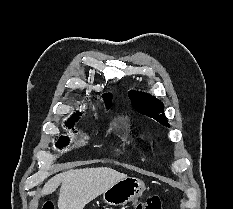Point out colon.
Here are the masks:
<instances>
[{
  "mask_svg": "<svg viewBox=\"0 0 233 209\" xmlns=\"http://www.w3.org/2000/svg\"><path fill=\"white\" fill-rule=\"evenodd\" d=\"M43 209H54V206L51 202H47ZM133 209H162V199L159 195H151L138 202Z\"/></svg>",
  "mask_w": 233,
  "mask_h": 209,
  "instance_id": "colon-1",
  "label": "colon"
}]
</instances>
